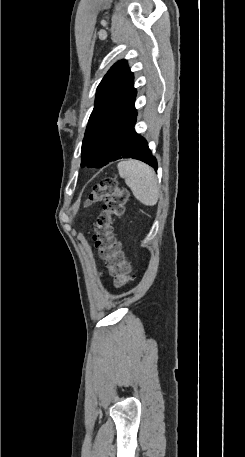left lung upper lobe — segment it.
<instances>
[{"instance_id":"1","label":"left lung upper lobe","mask_w":245,"mask_h":457,"mask_svg":"<svg viewBox=\"0 0 245 457\" xmlns=\"http://www.w3.org/2000/svg\"><path fill=\"white\" fill-rule=\"evenodd\" d=\"M133 73L125 60L115 63L97 88L95 106L85 135L93 128L110 122L122 113L135 112L136 89Z\"/></svg>"}]
</instances>
